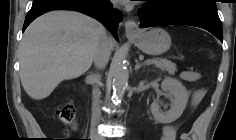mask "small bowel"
Here are the masks:
<instances>
[{"mask_svg":"<svg viewBox=\"0 0 236 140\" xmlns=\"http://www.w3.org/2000/svg\"><path fill=\"white\" fill-rule=\"evenodd\" d=\"M181 78L187 82H195L200 78V74L194 71H183L181 73ZM204 95V90H196L191 99V105H196ZM176 138V127L173 125H168L163 128V133L161 140H175Z\"/></svg>","mask_w":236,"mask_h":140,"instance_id":"1","label":"small bowel"}]
</instances>
